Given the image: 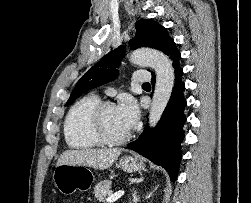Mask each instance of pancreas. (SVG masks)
Listing matches in <instances>:
<instances>
[{
  "mask_svg": "<svg viewBox=\"0 0 251 203\" xmlns=\"http://www.w3.org/2000/svg\"><path fill=\"white\" fill-rule=\"evenodd\" d=\"M111 184L112 182L110 180H103L95 186L93 193L97 200L104 202L105 197L112 194Z\"/></svg>",
  "mask_w": 251,
  "mask_h": 203,
  "instance_id": "pancreas-1",
  "label": "pancreas"
}]
</instances>
